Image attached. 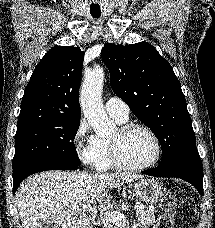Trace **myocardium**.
Returning <instances> with one entry per match:
<instances>
[{
  "label": "myocardium",
  "mask_w": 215,
  "mask_h": 228,
  "mask_svg": "<svg viewBox=\"0 0 215 228\" xmlns=\"http://www.w3.org/2000/svg\"><path fill=\"white\" fill-rule=\"evenodd\" d=\"M134 128H140V129L144 130L150 136V138L153 142L154 152H153V155L145 163H143L141 165H136V166L127 165L126 163H124L121 160V158L119 156L117 141L110 139L109 149H110V156H111L112 164L116 168L123 170V171H128V172H138V171H142L144 169L149 168L150 166H152L159 160L160 155H161L160 140H159L157 134L155 133V131L150 126H148L144 123H141V122H126V123H123L122 125H120V127L118 128V133L120 135H123Z\"/></svg>",
  "instance_id": "obj_1"
}]
</instances>
